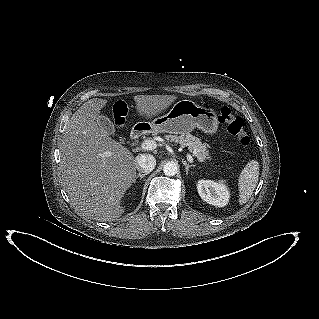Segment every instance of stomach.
Returning <instances> with one entry per match:
<instances>
[{
	"label": "stomach",
	"mask_w": 319,
	"mask_h": 319,
	"mask_svg": "<svg viewBox=\"0 0 319 319\" xmlns=\"http://www.w3.org/2000/svg\"><path fill=\"white\" fill-rule=\"evenodd\" d=\"M147 124L153 132L175 135L187 134L194 128L207 134H214L218 130V118L215 111L200 106L192 100L176 102L167 114Z\"/></svg>",
	"instance_id": "stomach-1"
}]
</instances>
